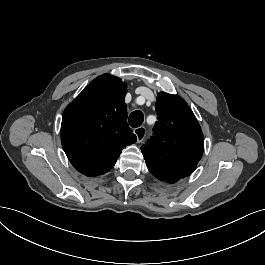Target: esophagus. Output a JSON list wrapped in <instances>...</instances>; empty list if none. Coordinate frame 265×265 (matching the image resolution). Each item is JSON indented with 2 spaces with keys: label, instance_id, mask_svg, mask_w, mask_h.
I'll return each mask as SVG.
<instances>
[{
  "label": "esophagus",
  "instance_id": "1",
  "mask_svg": "<svg viewBox=\"0 0 265 265\" xmlns=\"http://www.w3.org/2000/svg\"><path fill=\"white\" fill-rule=\"evenodd\" d=\"M134 133L137 137V142H141L146 136V128L141 126L134 129Z\"/></svg>",
  "mask_w": 265,
  "mask_h": 265
}]
</instances>
